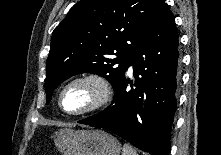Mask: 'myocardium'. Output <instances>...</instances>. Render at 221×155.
Returning a JSON list of instances; mask_svg holds the SVG:
<instances>
[{"label": "myocardium", "instance_id": "f54148a6", "mask_svg": "<svg viewBox=\"0 0 221 155\" xmlns=\"http://www.w3.org/2000/svg\"><path fill=\"white\" fill-rule=\"evenodd\" d=\"M75 85L91 86L95 92V97L92 103L87 107L79 111H68L63 105V96L69 88ZM111 97L112 87L107 78L97 73H85L73 77L62 86L58 94V106L67 115L83 116L105 107L110 102Z\"/></svg>", "mask_w": 221, "mask_h": 155}]
</instances>
